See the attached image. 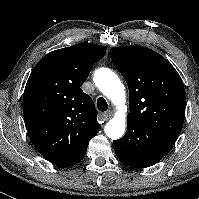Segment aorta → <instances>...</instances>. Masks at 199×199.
Listing matches in <instances>:
<instances>
[{"label":"aorta","instance_id":"aorta-1","mask_svg":"<svg viewBox=\"0 0 199 199\" xmlns=\"http://www.w3.org/2000/svg\"><path fill=\"white\" fill-rule=\"evenodd\" d=\"M94 82L99 90L114 104L119 111L105 126L107 137L117 140L124 134L126 127L125 88L118 76L108 68L96 71Z\"/></svg>","mask_w":199,"mask_h":199}]
</instances>
